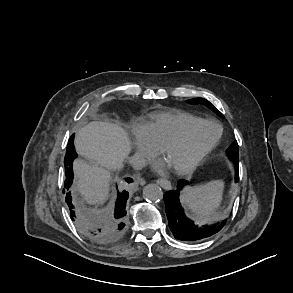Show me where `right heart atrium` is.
Segmentation results:
<instances>
[{"label":"right heart atrium","mask_w":293,"mask_h":293,"mask_svg":"<svg viewBox=\"0 0 293 293\" xmlns=\"http://www.w3.org/2000/svg\"><path fill=\"white\" fill-rule=\"evenodd\" d=\"M135 134V153L141 160H146L156 153V148L148 140L143 127L134 128Z\"/></svg>","instance_id":"1"}]
</instances>
